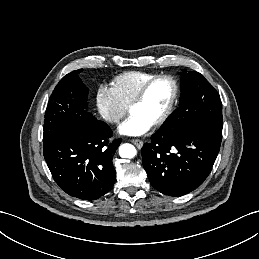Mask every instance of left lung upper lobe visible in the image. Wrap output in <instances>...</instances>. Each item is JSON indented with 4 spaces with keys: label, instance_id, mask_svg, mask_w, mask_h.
I'll use <instances>...</instances> for the list:
<instances>
[{
    "label": "left lung upper lobe",
    "instance_id": "left-lung-upper-lobe-1",
    "mask_svg": "<svg viewBox=\"0 0 259 259\" xmlns=\"http://www.w3.org/2000/svg\"><path fill=\"white\" fill-rule=\"evenodd\" d=\"M179 108L158 130L167 135L185 132L203 121L223 125L222 103L215 88L198 72L182 70Z\"/></svg>",
    "mask_w": 259,
    "mask_h": 259
}]
</instances>
